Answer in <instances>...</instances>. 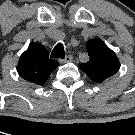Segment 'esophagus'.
I'll use <instances>...</instances> for the list:
<instances>
[{
	"instance_id": "esophagus-1",
	"label": "esophagus",
	"mask_w": 135,
	"mask_h": 135,
	"mask_svg": "<svg viewBox=\"0 0 135 135\" xmlns=\"http://www.w3.org/2000/svg\"><path fill=\"white\" fill-rule=\"evenodd\" d=\"M72 60H73V56L72 55H68L64 59H60L59 62L60 63H67V62H71Z\"/></svg>"
}]
</instances>
